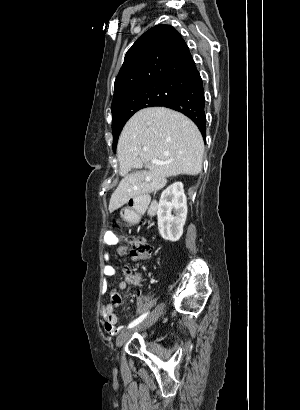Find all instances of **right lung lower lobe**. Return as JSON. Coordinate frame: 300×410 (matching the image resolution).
<instances>
[{"instance_id":"right-lung-lower-lobe-1","label":"right lung lower lobe","mask_w":300,"mask_h":410,"mask_svg":"<svg viewBox=\"0 0 300 410\" xmlns=\"http://www.w3.org/2000/svg\"><path fill=\"white\" fill-rule=\"evenodd\" d=\"M161 106L174 109L188 116L198 126L205 139V97L202 79L198 71L173 99Z\"/></svg>"}]
</instances>
